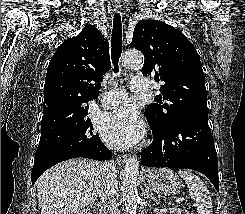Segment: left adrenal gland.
<instances>
[{
	"instance_id": "obj_1",
	"label": "left adrenal gland",
	"mask_w": 245,
	"mask_h": 214,
	"mask_svg": "<svg viewBox=\"0 0 245 214\" xmlns=\"http://www.w3.org/2000/svg\"><path fill=\"white\" fill-rule=\"evenodd\" d=\"M144 196L151 197L153 201L157 202V197L153 194L152 191L149 190L148 186L145 187Z\"/></svg>"
}]
</instances>
